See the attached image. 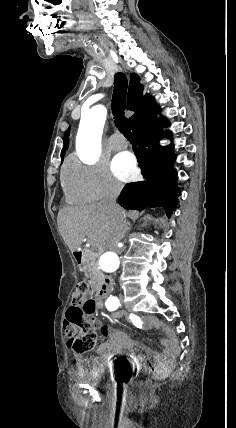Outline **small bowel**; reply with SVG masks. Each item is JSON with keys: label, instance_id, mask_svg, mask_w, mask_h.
I'll return each mask as SVG.
<instances>
[{"label": "small bowel", "instance_id": "c3829d8e", "mask_svg": "<svg viewBox=\"0 0 236 428\" xmlns=\"http://www.w3.org/2000/svg\"><path fill=\"white\" fill-rule=\"evenodd\" d=\"M98 307L102 308V305L98 304ZM109 315L112 319H127L138 328L145 330L158 329L164 335L163 344L165 346V351L163 353H158L146 344L134 341L123 330L113 326L103 325L99 321H94V326L98 327L101 334L108 338V341L101 344L97 349V353L103 359L111 360L117 355L126 353L130 361L137 367L147 362L149 358H152L154 366L159 370H163L177 355L179 351L178 342L174 332L168 325L160 322L154 317H138L129 315L125 312H109ZM75 359L79 366L84 362V359L79 354L75 356ZM93 361H95V359Z\"/></svg>", "mask_w": 236, "mask_h": 428}]
</instances>
